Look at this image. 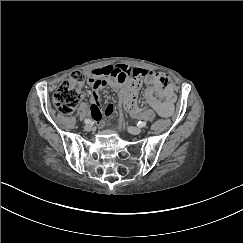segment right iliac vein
Listing matches in <instances>:
<instances>
[{
	"mask_svg": "<svg viewBox=\"0 0 243 243\" xmlns=\"http://www.w3.org/2000/svg\"><path fill=\"white\" fill-rule=\"evenodd\" d=\"M84 130L87 131V132H89V131L92 130V126H91L90 124H86V125L84 126Z\"/></svg>",
	"mask_w": 243,
	"mask_h": 243,
	"instance_id": "obj_1",
	"label": "right iliac vein"
}]
</instances>
